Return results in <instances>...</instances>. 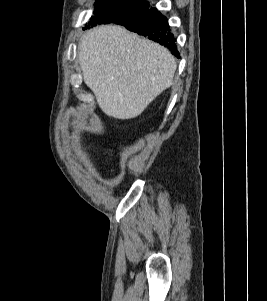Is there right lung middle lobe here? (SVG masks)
Segmentation results:
<instances>
[{"label":"right lung middle lobe","instance_id":"dd1d6c3e","mask_svg":"<svg viewBox=\"0 0 267 301\" xmlns=\"http://www.w3.org/2000/svg\"><path fill=\"white\" fill-rule=\"evenodd\" d=\"M95 6L97 9L94 10V16L85 28L97 24L114 23L127 15L149 8L148 2L144 0H97Z\"/></svg>","mask_w":267,"mask_h":301}]
</instances>
